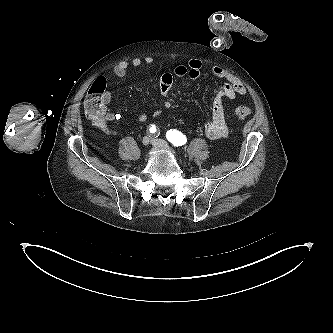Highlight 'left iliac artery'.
<instances>
[{"mask_svg": "<svg viewBox=\"0 0 333 333\" xmlns=\"http://www.w3.org/2000/svg\"><path fill=\"white\" fill-rule=\"evenodd\" d=\"M166 138L170 141L174 146H182L186 144L187 138L183 133L178 130L170 129L166 133Z\"/></svg>", "mask_w": 333, "mask_h": 333, "instance_id": "left-iliac-artery-1", "label": "left iliac artery"}]
</instances>
